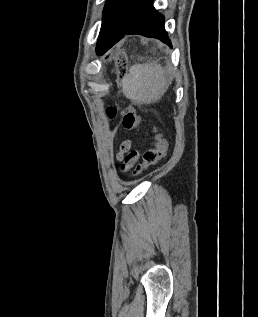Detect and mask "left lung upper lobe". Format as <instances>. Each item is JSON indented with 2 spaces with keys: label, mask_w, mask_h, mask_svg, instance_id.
Masks as SVG:
<instances>
[{
  "label": "left lung upper lobe",
  "mask_w": 258,
  "mask_h": 317,
  "mask_svg": "<svg viewBox=\"0 0 258 317\" xmlns=\"http://www.w3.org/2000/svg\"><path fill=\"white\" fill-rule=\"evenodd\" d=\"M132 0H107L101 28H122L128 15Z\"/></svg>",
  "instance_id": "1"
}]
</instances>
